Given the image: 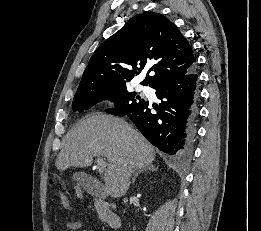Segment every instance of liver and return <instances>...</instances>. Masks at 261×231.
Wrapping results in <instances>:
<instances>
[{
	"label": "liver",
	"mask_w": 261,
	"mask_h": 231,
	"mask_svg": "<svg viewBox=\"0 0 261 231\" xmlns=\"http://www.w3.org/2000/svg\"><path fill=\"white\" fill-rule=\"evenodd\" d=\"M95 156L106 158L103 190L116 198L127 192L133 172L152 164L155 151L124 119L95 113L66 134L55 166L60 171L87 167Z\"/></svg>",
	"instance_id": "6515ba94"
}]
</instances>
